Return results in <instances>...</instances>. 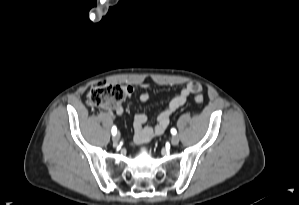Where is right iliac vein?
<instances>
[{
  "label": "right iliac vein",
  "instance_id": "1",
  "mask_svg": "<svg viewBox=\"0 0 299 205\" xmlns=\"http://www.w3.org/2000/svg\"><path fill=\"white\" fill-rule=\"evenodd\" d=\"M119 139H120V135H119V134H115V135L113 136V141H114V142H118Z\"/></svg>",
  "mask_w": 299,
  "mask_h": 205
}]
</instances>
